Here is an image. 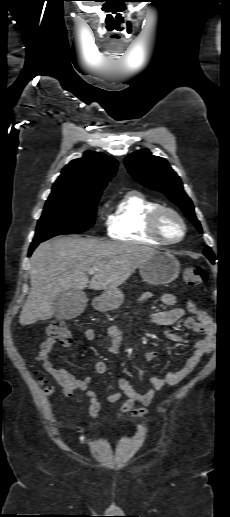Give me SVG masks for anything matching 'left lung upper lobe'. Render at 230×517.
Returning <instances> with one entry per match:
<instances>
[{
	"label": "left lung upper lobe",
	"instance_id": "left-lung-upper-lobe-1",
	"mask_svg": "<svg viewBox=\"0 0 230 517\" xmlns=\"http://www.w3.org/2000/svg\"><path fill=\"white\" fill-rule=\"evenodd\" d=\"M131 176L143 186L164 193L178 205L200 233L202 228L194 212L192 201L183 189L179 176L164 158L153 156L148 149L129 154L124 159ZM204 255L214 263V253L206 246Z\"/></svg>",
	"mask_w": 230,
	"mask_h": 517
}]
</instances>
